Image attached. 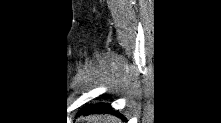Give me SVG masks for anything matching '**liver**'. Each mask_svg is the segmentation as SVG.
Wrapping results in <instances>:
<instances>
[{"label": "liver", "mask_w": 221, "mask_h": 123, "mask_svg": "<svg viewBox=\"0 0 221 123\" xmlns=\"http://www.w3.org/2000/svg\"><path fill=\"white\" fill-rule=\"evenodd\" d=\"M87 123H122V121L113 115H90L85 118Z\"/></svg>", "instance_id": "1"}]
</instances>
